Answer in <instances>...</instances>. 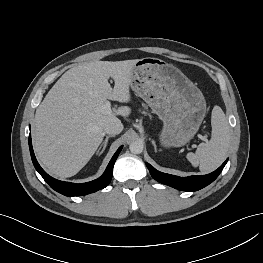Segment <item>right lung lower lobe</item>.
<instances>
[{
	"instance_id": "obj_1",
	"label": "right lung lower lobe",
	"mask_w": 263,
	"mask_h": 263,
	"mask_svg": "<svg viewBox=\"0 0 263 263\" xmlns=\"http://www.w3.org/2000/svg\"><path fill=\"white\" fill-rule=\"evenodd\" d=\"M123 146H120L119 149L116 151L114 156L112 157L111 161L109 162L105 172L101 177H99L96 180H93L91 182L87 183H81V184H75V183H70V182H63L59 181L57 179L52 178L49 176L38 164L33 148H32V142H31V135L29 136V149H30V154L32 158V162L34 164V167L36 170L40 173V175L43 177V179L49 184V186L54 189L55 191L65 195V196H83L87 195L90 193H93L95 191H98L100 189L105 188L108 186L112 179L113 175V166L114 163L121 151Z\"/></svg>"
}]
</instances>
